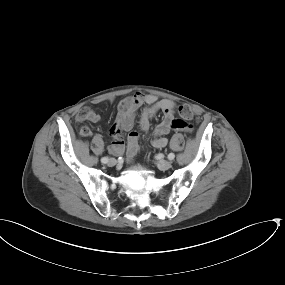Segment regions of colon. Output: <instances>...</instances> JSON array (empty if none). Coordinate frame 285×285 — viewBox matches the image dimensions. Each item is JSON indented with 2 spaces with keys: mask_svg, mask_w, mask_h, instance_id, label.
I'll use <instances>...</instances> for the list:
<instances>
[{
  "mask_svg": "<svg viewBox=\"0 0 285 285\" xmlns=\"http://www.w3.org/2000/svg\"><path fill=\"white\" fill-rule=\"evenodd\" d=\"M177 110L180 117L185 120H190L193 116V109L187 104L179 106Z\"/></svg>",
  "mask_w": 285,
  "mask_h": 285,
  "instance_id": "colon-1",
  "label": "colon"
}]
</instances>
